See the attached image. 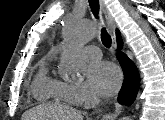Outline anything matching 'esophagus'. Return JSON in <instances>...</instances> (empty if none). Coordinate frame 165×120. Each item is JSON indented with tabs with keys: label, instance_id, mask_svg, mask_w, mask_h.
Wrapping results in <instances>:
<instances>
[{
	"label": "esophagus",
	"instance_id": "34e87169",
	"mask_svg": "<svg viewBox=\"0 0 165 120\" xmlns=\"http://www.w3.org/2000/svg\"><path fill=\"white\" fill-rule=\"evenodd\" d=\"M99 3H100V7H101V10L105 16V19H106V23H107V26H108V30H109V33L112 37V44H113V47L114 49L117 48V44H116V36H115V22H114V19L111 15V13L109 12V10L107 9L105 3L103 0H99ZM121 105L117 104L116 105V108H115V111L113 113H109V114H105L103 115V120H113L115 119L121 112Z\"/></svg>",
	"mask_w": 165,
	"mask_h": 120
}]
</instances>
